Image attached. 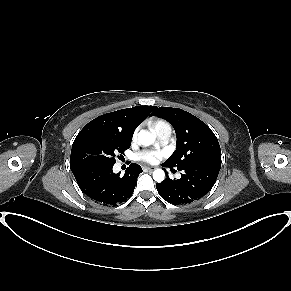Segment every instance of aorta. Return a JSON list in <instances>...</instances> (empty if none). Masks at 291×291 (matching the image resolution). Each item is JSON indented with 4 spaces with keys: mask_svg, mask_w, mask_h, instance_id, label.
Instances as JSON below:
<instances>
[{
    "mask_svg": "<svg viewBox=\"0 0 291 291\" xmlns=\"http://www.w3.org/2000/svg\"><path fill=\"white\" fill-rule=\"evenodd\" d=\"M139 143L148 146L155 141V136L150 132L141 130L138 134ZM153 179L157 182H162L165 179V173L162 169H157L153 172Z\"/></svg>",
    "mask_w": 291,
    "mask_h": 291,
    "instance_id": "1",
    "label": "aorta"
}]
</instances>
